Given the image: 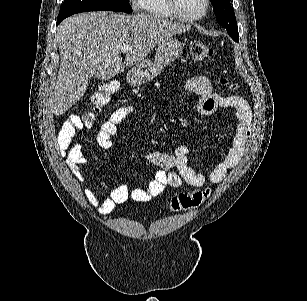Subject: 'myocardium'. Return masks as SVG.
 I'll use <instances>...</instances> for the list:
<instances>
[{"mask_svg": "<svg viewBox=\"0 0 307 301\" xmlns=\"http://www.w3.org/2000/svg\"><path fill=\"white\" fill-rule=\"evenodd\" d=\"M178 0H167L168 12H171L170 17H174L176 22H200L201 17H204L207 13V0H202L203 4L201 10L196 9L195 11L191 10H176V2Z\"/></svg>", "mask_w": 307, "mask_h": 301, "instance_id": "myocardium-1", "label": "myocardium"}]
</instances>
